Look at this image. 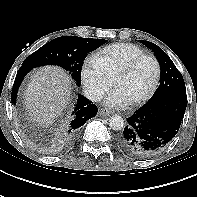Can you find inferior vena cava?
<instances>
[{
    "instance_id": "602c4592",
    "label": "inferior vena cava",
    "mask_w": 197,
    "mask_h": 197,
    "mask_svg": "<svg viewBox=\"0 0 197 197\" xmlns=\"http://www.w3.org/2000/svg\"><path fill=\"white\" fill-rule=\"evenodd\" d=\"M84 94L92 102H98L102 99V94L96 90L87 89Z\"/></svg>"
}]
</instances>
